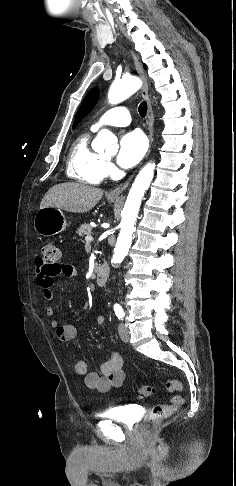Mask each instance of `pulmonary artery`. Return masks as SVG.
Segmentation results:
<instances>
[{
    "instance_id": "1",
    "label": "pulmonary artery",
    "mask_w": 236,
    "mask_h": 486,
    "mask_svg": "<svg viewBox=\"0 0 236 486\" xmlns=\"http://www.w3.org/2000/svg\"><path fill=\"white\" fill-rule=\"evenodd\" d=\"M131 123L130 112L126 107L118 106L107 110L92 125L91 129L96 131L104 126L124 127Z\"/></svg>"
}]
</instances>
